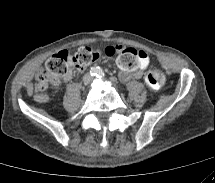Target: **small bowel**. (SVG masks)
Instances as JSON below:
<instances>
[{"mask_svg":"<svg viewBox=\"0 0 215 183\" xmlns=\"http://www.w3.org/2000/svg\"><path fill=\"white\" fill-rule=\"evenodd\" d=\"M118 54L116 62L120 68L119 78L122 81H128L130 78H141L152 64L150 54L141 48L132 46L124 47L116 46ZM74 71L71 69L62 78L50 79L45 76V71H40L35 78V82L31 88L34 91V99L39 103L48 100V96L44 93L48 85L58 86L61 83L69 82L73 78Z\"/></svg>","mask_w":215,"mask_h":183,"instance_id":"c3829d8e","label":"small bowel"}]
</instances>
